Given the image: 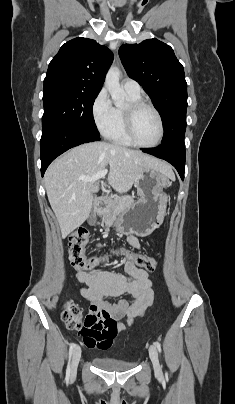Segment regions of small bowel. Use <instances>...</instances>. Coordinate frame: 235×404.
Masks as SVG:
<instances>
[{
  "label": "small bowel",
  "mask_w": 235,
  "mask_h": 404,
  "mask_svg": "<svg viewBox=\"0 0 235 404\" xmlns=\"http://www.w3.org/2000/svg\"><path fill=\"white\" fill-rule=\"evenodd\" d=\"M129 243L136 249L140 247L133 236L129 238ZM125 270L128 276L100 269L76 271L77 280L84 285L80 293L90 302L91 313L105 314L113 320L115 334L125 330L135 318L143 316L153 304L152 281L148 272L130 261L125 263ZM123 294H129L132 300L121 299L116 303L106 300ZM122 316L127 317L126 324L116 322ZM79 334L88 348L109 346V342L100 333H88L81 328Z\"/></svg>",
  "instance_id": "small-bowel-1"
}]
</instances>
